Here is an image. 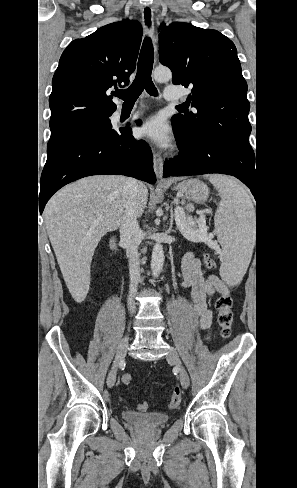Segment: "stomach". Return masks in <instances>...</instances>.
<instances>
[{
	"instance_id": "obj_1",
	"label": "stomach",
	"mask_w": 297,
	"mask_h": 488,
	"mask_svg": "<svg viewBox=\"0 0 297 488\" xmlns=\"http://www.w3.org/2000/svg\"><path fill=\"white\" fill-rule=\"evenodd\" d=\"M178 193L196 203L205 202L209 196V189L198 179H186L174 187Z\"/></svg>"
}]
</instances>
